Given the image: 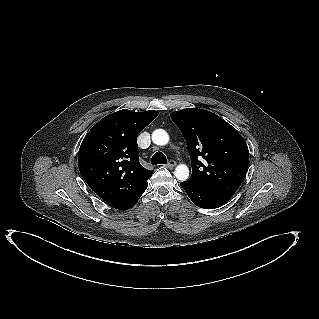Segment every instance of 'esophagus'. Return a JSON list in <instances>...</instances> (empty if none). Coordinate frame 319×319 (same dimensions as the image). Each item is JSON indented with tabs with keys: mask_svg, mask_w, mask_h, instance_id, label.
<instances>
[{
	"mask_svg": "<svg viewBox=\"0 0 319 319\" xmlns=\"http://www.w3.org/2000/svg\"><path fill=\"white\" fill-rule=\"evenodd\" d=\"M176 166V162L174 160H169L168 163L166 164L167 168H173Z\"/></svg>",
	"mask_w": 319,
	"mask_h": 319,
	"instance_id": "esophagus-1",
	"label": "esophagus"
}]
</instances>
